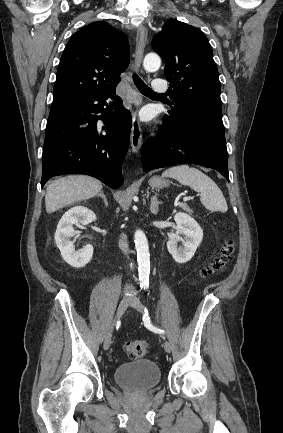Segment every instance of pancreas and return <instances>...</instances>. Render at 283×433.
I'll use <instances>...</instances> for the list:
<instances>
[{
    "instance_id": "obj_1",
    "label": "pancreas",
    "mask_w": 283,
    "mask_h": 433,
    "mask_svg": "<svg viewBox=\"0 0 283 433\" xmlns=\"http://www.w3.org/2000/svg\"><path fill=\"white\" fill-rule=\"evenodd\" d=\"M183 210H187V212H193L192 208H189L188 204H183Z\"/></svg>"
}]
</instances>
